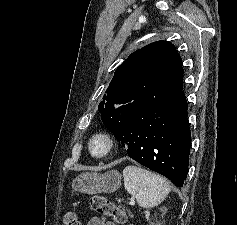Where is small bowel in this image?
<instances>
[{
	"label": "small bowel",
	"instance_id": "obj_1",
	"mask_svg": "<svg viewBox=\"0 0 237 225\" xmlns=\"http://www.w3.org/2000/svg\"><path fill=\"white\" fill-rule=\"evenodd\" d=\"M87 225H116V224L112 221H106L101 217L95 216L88 220Z\"/></svg>",
	"mask_w": 237,
	"mask_h": 225
}]
</instances>
